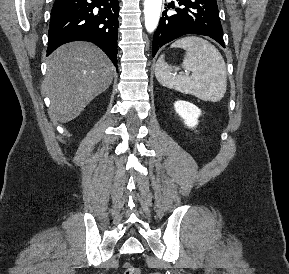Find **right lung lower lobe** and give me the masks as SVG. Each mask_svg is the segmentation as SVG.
I'll use <instances>...</instances> for the list:
<instances>
[{"instance_id":"obj_1","label":"right lung lower lobe","mask_w":289,"mask_h":274,"mask_svg":"<svg viewBox=\"0 0 289 274\" xmlns=\"http://www.w3.org/2000/svg\"><path fill=\"white\" fill-rule=\"evenodd\" d=\"M118 0H55L47 55L60 45L84 40L99 46L117 67Z\"/></svg>"}]
</instances>
